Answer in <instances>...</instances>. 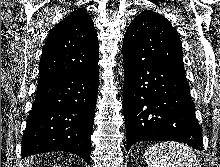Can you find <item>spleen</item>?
I'll use <instances>...</instances> for the list:
<instances>
[{"label": "spleen", "mask_w": 220, "mask_h": 167, "mask_svg": "<svg viewBox=\"0 0 220 167\" xmlns=\"http://www.w3.org/2000/svg\"><path fill=\"white\" fill-rule=\"evenodd\" d=\"M148 167H201L193 150L178 142L150 146L144 153Z\"/></svg>", "instance_id": "3e777b00"}]
</instances>
